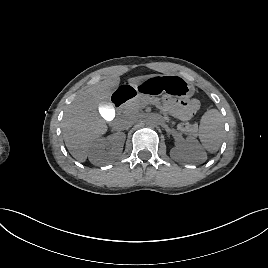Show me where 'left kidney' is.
Returning <instances> with one entry per match:
<instances>
[{
    "mask_svg": "<svg viewBox=\"0 0 268 268\" xmlns=\"http://www.w3.org/2000/svg\"><path fill=\"white\" fill-rule=\"evenodd\" d=\"M170 156L186 163H202L207 159V154L194 137H187L184 142L172 148Z\"/></svg>",
    "mask_w": 268,
    "mask_h": 268,
    "instance_id": "obj_1",
    "label": "left kidney"
}]
</instances>
